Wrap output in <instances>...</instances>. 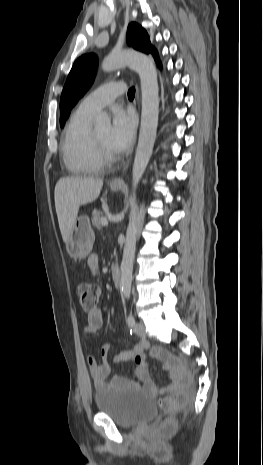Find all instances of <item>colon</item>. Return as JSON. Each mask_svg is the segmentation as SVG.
<instances>
[{
  "mask_svg": "<svg viewBox=\"0 0 263 465\" xmlns=\"http://www.w3.org/2000/svg\"><path fill=\"white\" fill-rule=\"evenodd\" d=\"M100 289L92 283H82L77 287V297L83 310L91 312L96 309L100 299ZM185 382L179 380L171 386V395L159 400L160 407L169 413L167 418L160 426L162 434L171 433L177 425L175 414L179 411L186 401Z\"/></svg>",
  "mask_w": 263,
  "mask_h": 465,
  "instance_id": "colon-1",
  "label": "colon"
}]
</instances>
